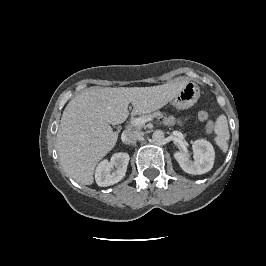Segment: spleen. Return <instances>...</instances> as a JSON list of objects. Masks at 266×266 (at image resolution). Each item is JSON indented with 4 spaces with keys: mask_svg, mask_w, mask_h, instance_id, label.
Returning <instances> with one entry per match:
<instances>
[{
    "mask_svg": "<svg viewBox=\"0 0 266 266\" xmlns=\"http://www.w3.org/2000/svg\"><path fill=\"white\" fill-rule=\"evenodd\" d=\"M214 131L216 134L214 141L216 145L225 153L228 150V140L230 138L228 122L225 115H220L217 118Z\"/></svg>",
    "mask_w": 266,
    "mask_h": 266,
    "instance_id": "1",
    "label": "spleen"
}]
</instances>
